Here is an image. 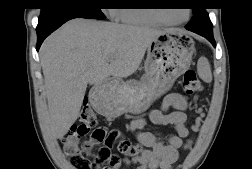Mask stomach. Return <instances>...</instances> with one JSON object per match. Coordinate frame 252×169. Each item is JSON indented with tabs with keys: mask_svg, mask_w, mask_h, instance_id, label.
Instances as JSON below:
<instances>
[{
	"mask_svg": "<svg viewBox=\"0 0 252 169\" xmlns=\"http://www.w3.org/2000/svg\"><path fill=\"white\" fill-rule=\"evenodd\" d=\"M194 52V41L185 32L164 31L147 48L141 80L98 84L92 98L93 106L108 117L143 113L190 67Z\"/></svg>",
	"mask_w": 252,
	"mask_h": 169,
	"instance_id": "0dacf381",
	"label": "stomach"
}]
</instances>
